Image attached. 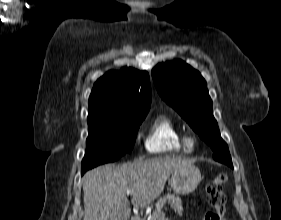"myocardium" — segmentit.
Listing matches in <instances>:
<instances>
[{
  "instance_id": "1",
  "label": "myocardium",
  "mask_w": 281,
  "mask_h": 220,
  "mask_svg": "<svg viewBox=\"0 0 281 220\" xmlns=\"http://www.w3.org/2000/svg\"><path fill=\"white\" fill-rule=\"evenodd\" d=\"M183 142L188 151H193L196 148L197 140L193 135H185L183 137Z\"/></svg>"
}]
</instances>
